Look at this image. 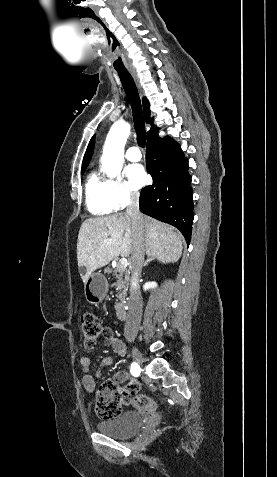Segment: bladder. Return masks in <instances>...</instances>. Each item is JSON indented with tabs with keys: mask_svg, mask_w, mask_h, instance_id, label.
Segmentation results:
<instances>
[{
	"mask_svg": "<svg viewBox=\"0 0 277 477\" xmlns=\"http://www.w3.org/2000/svg\"><path fill=\"white\" fill-rule=\"evenodd\" d=\"M142 424L141 414L136 411H124L115 417L98 422L97 429L110 437L125 438L136 433Z\"/></svg>",
	"mask_w": 277,
	"mask_h": 477,
	"instance_id": "1",
	"label": "bladder"
}]
</instances>
